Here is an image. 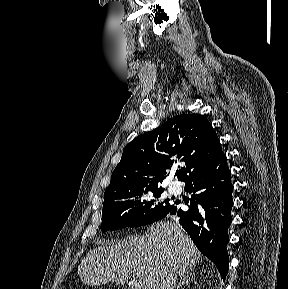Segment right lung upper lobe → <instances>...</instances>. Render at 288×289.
<instances>
[{"mask_svg": "<svg viewBox=\"0 0 288 289\" xmlns=\"http://www.w3.org/2000/svg\"><path fill=\"white\" fill-rule=\"evenodd\" d=\"M222 152L209 121L199 114L169 119L157 129L133 139L123 150L105 196L159 187L177 162H185L175 176L185 181Z\"/></svg>", "mask_w": 288, "mask_h": 289, "instance_id": "right-lung-upper-lobe-1", "label": "right lung upper lobe"}]
</instances>
